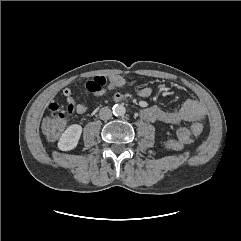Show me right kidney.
Here are the masks:
<instances>
[{"label": "right kidney", "instance_id": "right-kidney-1", "mask_svg": "<svg viewBox=\"0 0 241 241\" xmlns=\"http://www.w3.org/2000/svg\"><path fill=\"white\" fill-rule=\"evenodd\" d=\"M82 127L78 124L69 126L61 135L58 148L62 151H69L74 149L80 139Z\"/></svg>", "mask_w": 241, "mask_h": 241}]
</instances>
